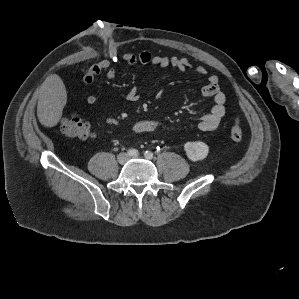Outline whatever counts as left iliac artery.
I'll return each instance as SVG.
<instances>
[{"instance_id":"44dca946","label":"left iliac artery","mask_w":299,"mask_h":299,"mask_svg":"<svg viewBox=\"0 0 299 299\" xmlns=\"http://www.w3.org/2000/svg\"><path fill=\"white\" fill-rule=\"evenodd\" d=\"M144 156L146 159H152L153 158V153L151 151H146L144 153Z\"/></svg>"}]
</instances>
